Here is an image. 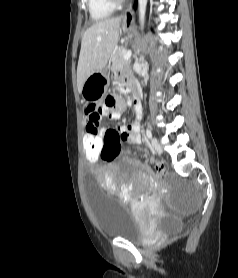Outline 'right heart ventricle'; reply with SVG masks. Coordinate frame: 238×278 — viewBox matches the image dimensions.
Instances as JSON below:
<instances>
[{"label":"right heart ventricle","mask_w":238,"mask_h":278,"mask_svg":"<svg viewBox=\"0 0 238 278\" xmlns=\"http://www.w3.org/2000/svg\"><path fill=\"white\" fill-rule=\"evenodd\" d=\"M89 14L92 20L100 21L109 17L114 7L108 0H87Z\"/></svg>","instance_id":"1"}]
</instances>
